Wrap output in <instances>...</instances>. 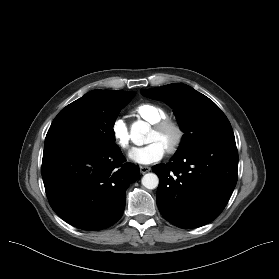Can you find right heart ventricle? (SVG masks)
Segmentation results:
<instances>
[{
    "mask_svg": "<svg viewBox=\"0 0 279 279\" xmlns=\"http://www.w3.org/2000/svg\"><path fill=\"white\" fill-rule=\"evenodd\" d=\"M133 112L137 117L150 124L167 117V112L163 107L149 102L139 104Z\"/></svg>",
    "mask_w": 279,
    "mask_h": 279,
    "instance_id": "right-heart-ventricle-1",
    "label": "right heart ventricle"
}]
</instances>
